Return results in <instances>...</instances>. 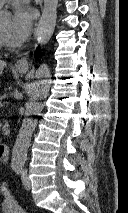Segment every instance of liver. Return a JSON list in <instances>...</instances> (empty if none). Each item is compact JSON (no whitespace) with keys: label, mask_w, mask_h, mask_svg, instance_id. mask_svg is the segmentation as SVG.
<instances>
[{"label":"liver","mask_w":128,"mask_h":213,"mask_svg":"<svg viewBox=\"0 0 128 213\" xmlns=\"http://www.w3.org/2000/svg\"><path fill=\"white\" fill-rule=\"evenodd\" d=\"M7 63L3 60H0V74H2L4 68L6 67Z\"/></svg>","instance_id":"obj_1"}]
</instances>
